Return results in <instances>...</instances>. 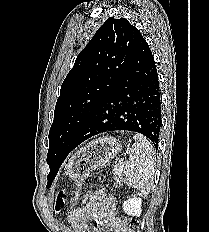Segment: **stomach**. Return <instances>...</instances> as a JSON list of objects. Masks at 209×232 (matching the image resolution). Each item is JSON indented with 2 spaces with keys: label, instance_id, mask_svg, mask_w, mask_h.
Listing matches in <instances>:
<instances>
[{
  "label": "stomach",
  "instance_id": "0dacf381",
  "mask_svg": "<svg viewBox=\"0 0 209 232\" xmlns=\"http://www.w3.org/2000/svg\"><path fill=\"white\" fill-rule=\"evenodd\" d=\"M121 150L122 145L114 137L96 139L74 153L66 167L67 175L74 180H84L92 171L108 165Z\"/></svg>",
  "mask_w": 209,
  "mask_h": 232
}]
</instances>
